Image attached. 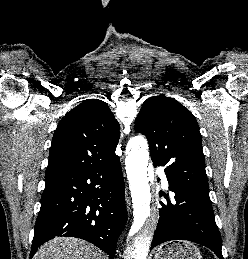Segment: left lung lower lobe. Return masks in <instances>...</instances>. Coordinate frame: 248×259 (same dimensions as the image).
I'll return each instance as SVG.
<instances>
[{"label":"left lung lower lobe","instance_id":"0a47b994","mask_svg":"<svg viewBox=\"0 0 248 259\" xmlns=\"http://www.w3.org/2000/svg\"><path fill=\"white\" fill-rule=\"evenodd\" d=\"M175 202L160 203L159 221L151 249L170 240H188L211 249L219 259L221 237L214 219L209 195L189 192L168 179Z\"/></svg>","mask_w":248,"mask_h":259}]
</instances>
